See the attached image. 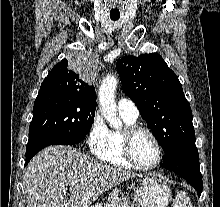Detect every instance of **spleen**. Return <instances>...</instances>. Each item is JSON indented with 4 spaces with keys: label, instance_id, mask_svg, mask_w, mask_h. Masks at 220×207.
Returning <instances> with one entry per match:
<instances>
[{
    "label": "spleen",
    "instance_id": "obj_1",
    "mask_svg": "<svg viewBox=\"0 0 220 207\" xmlns=\"http://www.w3.org/2000/svg\"><path fill=\"white\" fill-rule=\"evenodd\" d=\"M173 207H193L190 198L185 192L180 191L177 193Z\"/></svg>",
    "mask_w": 220,
    "mask_h": 207
}]
</instances>
